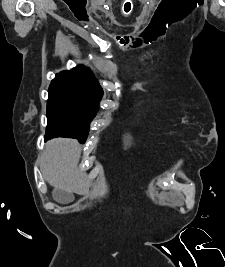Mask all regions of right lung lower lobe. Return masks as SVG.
I'll return each mask as SVG.
<instances>
[{
  "label": "right lung lower lobe",
  "instance_id": "1",
  "mask_svg": "<svg viewBox=\"0 0 225 267\" xmlns=\"http://www.w3.org/2000/svg\"><path fill=\"white\" fill-rule=\"evenodd\" d=\"M49 138L47 136H45V141L48 140Z\"/></svg>",
  "mask_w": 225,
  "mask_h": 267
}]
</instances>
